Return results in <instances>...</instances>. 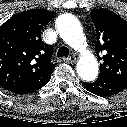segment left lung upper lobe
<instances>
[{"label": "left lung upper lobe", "mask_w": 127, "mask_h": 127, "mask_svg": "<svg viewBox=\"0 0 127 127\" xmlns=\"http://www.w3.org/2000/svg\"><path fill=\"white\" fill-rule=\"evenodd\" d=\"M97 33L95 51L103 54L100 74L127 86V22L107 9L91 13Z\"/></svg>", "instance_id": "1"}]
</instances>
